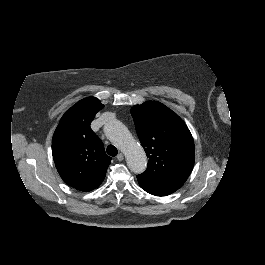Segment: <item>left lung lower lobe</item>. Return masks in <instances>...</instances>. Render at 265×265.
Returning <instances> with one entry per match:
<instances>
[{
    "label": "left lung lower lobe",
    "mask_w": 265,
    "mask_h": 265,
    "mask_svg": "<svg viewBox=\"0 0 265 265\" xmlns=\"http://www.w3.org/2000/svg\"><path fill=\"white\" fill-rule=\"evenodd\" d=\"M138 179L139 185L148 193L156 196H166L176 191V189L157 186L155 184Z\"/></svg>",
    "instance_id": "0a47b994"
}]
</instances>
